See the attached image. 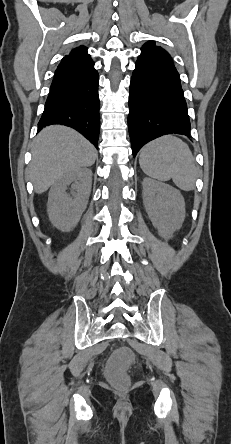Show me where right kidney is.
I'll return each instance as SVG.
<instances>
[{
	"label": "right kidney",
	"instance_id": "obj_1",
	"mask_svg": "<svg viewBox=\"0 0 231 444\" xmlns=\"http://www.w3.org/2000/svg\"><path fill=\"white\" fill-rule=\"evenodd\" d=\"M71 185L73 191L66 192ZM92 171L83 168L63 175L50 189L48 215L52 224L61 231L69 232L78 223L87 207L91 192Z\"/></svg>",
	"mask_w": 231,
	"mask_h": 444
}]
</instances>
